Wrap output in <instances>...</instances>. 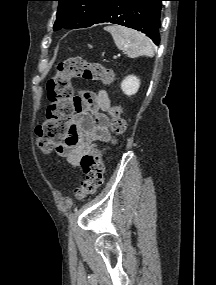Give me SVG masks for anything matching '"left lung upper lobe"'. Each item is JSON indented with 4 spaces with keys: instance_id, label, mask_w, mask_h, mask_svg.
<instances>
[{
    "instance_id": "5c2ea615",
    "label": "left lung upper lobe",
    "mask_w": 216,
    "mask_h": 285,
    "mask_svg": "<svg viewBox=\"0 0 216 285\" xmlns=\"http://www.w3.org/2000/svg\"><path fill=\"white\" fill-rule=\"evenodd\" d=\"M59 2L54 30L90 27L112 0H56Z\"/></svg>"
}]
</instances>
